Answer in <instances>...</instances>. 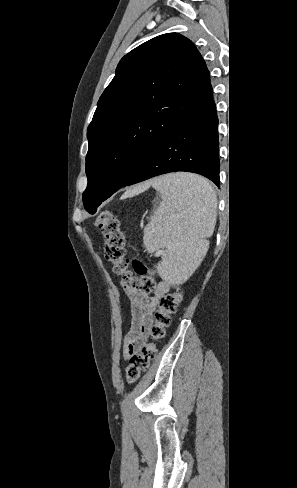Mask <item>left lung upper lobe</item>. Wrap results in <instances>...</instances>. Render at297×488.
Instances as JSON below:
<instances>
[{"instance_id": "left-lung-upper-lobe-1", "label": "left lung upper lobe", "mask_w": 297, "mask_h": 488, "mask_svg": "<svg viewBox=\"0 0 297 488\" xmlns=\"http://www.w3.org/2000/svg\"><path fill=\"white\" fill-rule=\"evenodd\" d=\"M212 98L209 71L186 37L163 34L126 54L87 130L86 211L94 214L171 131Z\"/></svg>"}]
</instances>
